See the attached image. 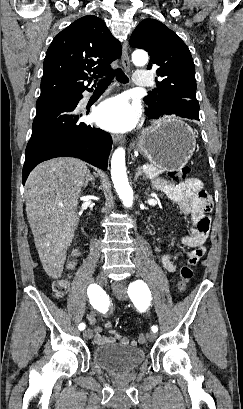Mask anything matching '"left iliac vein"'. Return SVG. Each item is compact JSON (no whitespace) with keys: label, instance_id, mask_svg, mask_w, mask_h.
<instances>
[{"label":"left iliac vein","instance_id":"obj_1","mask_svg":"<svg viewBox=\"0 0 243 409\" xmlns=\"http://www.w3.org/2000/svg\"><path fill=\"white\" fill-rule=\"evenodd\" d=\"M112 290L115 294V296L119 300H125L127 295H126V286L122 282H115L112 284ZM147 339L149 341H154L156 339V333L154 332H148L147 333Z\"/></svg>","mask_w":243,"mask_h":409}]
</instances>
